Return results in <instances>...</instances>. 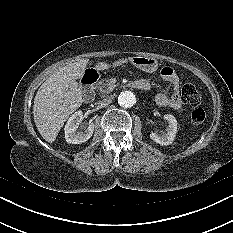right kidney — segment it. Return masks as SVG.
I'll use <instances>...</instances> for the list:
<instances>
[{
  "label": "right kidney",
  "mask_w": 233,
  "mask_h": 233,
  "mask_svg": "<svg viewBox=\"0 0 233 233\" xmlns=\"http://www.w3.org/2000/svg\"><path fill=\"white\" fill-rule=\"evenodd\" d=\"M83 119L82 111L75 112L67 121L65 125V139L70 144H81L91 138L94 131V124L89 123L85 131H78L79 124Z\"/></svg>",
  "instance_id": "obj_1"
}]
</instances>
